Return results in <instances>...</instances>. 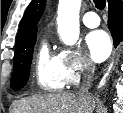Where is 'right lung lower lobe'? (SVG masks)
<instances>
[{"label": "right lung lower lobe", "mask_w": 123, "mask_h": 113, "mask_svg": "<svg viewBox=\"0 0 123 113\" xmlns=\"http://www.w3.org/2000/svg\"><path fill=\"white\" fill-rule=\"evenodd\" d=\"M108 27L114 46L123 41V3L121 0H108Z\"/></svg>", "instance_id": "right-lung-lower-lobe-1"}]
</instances>
